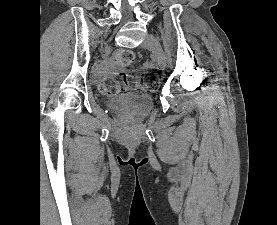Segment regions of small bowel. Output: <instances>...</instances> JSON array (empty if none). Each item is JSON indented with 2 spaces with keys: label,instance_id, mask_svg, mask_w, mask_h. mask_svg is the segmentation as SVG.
<instances>
[{
  "label": "small bowel",
  "instance_id": "1",
  "mask_svg": "<svg viewBox=\"0 0 277 225\" xmlns=\"http://www.w3.org/2000/svg\"><path fill=\"white\" fill-rule=\"evenodd\" d=\"M149 66V65H147ZM106 77L104 71L102 69H98L97 71V79L99 80V82H101L104 78Z\"/></svg>",
  "mask_w": 277,
  "mask_h": 225
}]
</instances>
